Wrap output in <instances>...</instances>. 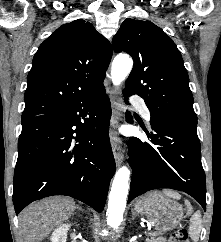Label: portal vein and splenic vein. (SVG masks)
I'll use <instances>...</instances> for the list:
<instances>
[{"label": "portal vein and splenic vein", "mask_w": 221, "mask_h": 242, "mask_svg": "<svg viewBox=\"0 0 221 242\" xmlns=\"http://www.w3.org/2000/svg\"><path fill=\"white\" fill-rule=\"evenodd\" d=\"M148 235H149V236L153 235V234L151 233V228H148Z\"/></svg>", "instance_id": "obj_1"}]
</instances>
